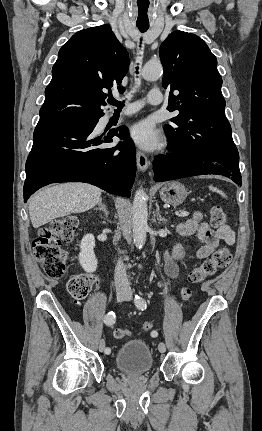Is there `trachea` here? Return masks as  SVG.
Wrapping results in <instances>:
<instances>
[{
	"mask_svg": "<svg viewBox=\"0 0 262 431\" xmlns=\"http://www.w3.org/2000/svg\"><path fill=\"white\" fill-rule=\"evenodd\" d=\"M148 7H149V3H147V0H138V11H139V13H142V14L147 13ZM137 27L141 33L146 32L149 28V26H137ZM108 103L116 106L118 110H121L122 107L124 106L123 103L118 102L114 98L109 99Z\"/></svg>",
	"mask_w": 262,
	"mask_h": 431,
	"instance_id": "trachea-1",
	"label": "trachea"
}]
</instances>
